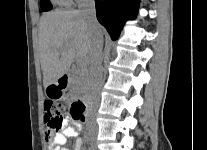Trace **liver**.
<instances>
[{
    "label": "liver",
    "instance_id": "1",
    "mask_svg": "<svg viewBox=\"0 0 207 150\" xmlns=\"http://www.w3.org/2000/svg\"><path fill=\"white\" fill-rule=\"evenodd\" d=\"M97 31L102 35L99 24ZM93 36L79 10H56L41 17L38 37L44 87L67 74L75 58L89 64Z\"/></svg>",
    "mask_w": 207,
    "mask_h": 150
}]
</instances>
